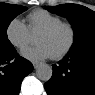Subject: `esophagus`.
<instances>
[{
    "label": "esophagus",
    "instance_id": "34e87169",
    "mask_svg": "<svg viewBox=\"0 0 95 95\" xmlns=\"http://www.w3.org/2000/svg\"><path fill=\"white\" fill-rule=\"evenodd\" d=\"M33 66L36 69L39 66V62H37V61L33 62Z\"/></svg>",
    "mask_w": 95,
    "mask_h": 95
}]
</instances>
